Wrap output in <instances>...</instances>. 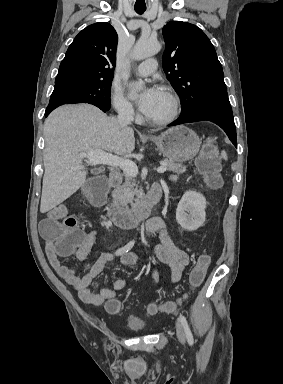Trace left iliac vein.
I'll use <instances>...</instances> for the list:
<instances>
[{
    "label": "left iliac vein",
    "mask_w": 283,
    "mask_h": 384,
    "mask_svg": "<svg viewBox=\"0 0 283 384\" xmlns=\"http://www.w3.org/2000/svg\"><path fill=\"white\" fill-rule=\"evenodd\" d=\"M175 326H176V333H177L178 340L180 341L181 344H184L186 341V334H185L184 328L178 320L176 321Z\"/></svg>",
    "instance_id": "1"
}]
</instances>
